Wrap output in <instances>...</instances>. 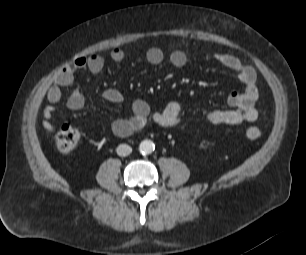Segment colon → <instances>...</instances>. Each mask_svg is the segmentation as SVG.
<instances>
[{
	"label": "colon",
	"mask_w": 306,
	"mask_h": 255,
	"mask_svg": "<svg viewBox=\"0 0 306 255\" xmlns=\"http://www.w3.org/2000/svg\"><path fill=\"white\" fill-rule=\"evenodd\" d=\"M260 135L261 131L256 126L248 127L246 130V136L249 139H256ZM79 138V132L75 128L69 125H64L61 127L55 137L57 149L62 154H69L76 148Z\"/></svg>",
	"instance_id": "1"
}]
</instances>
